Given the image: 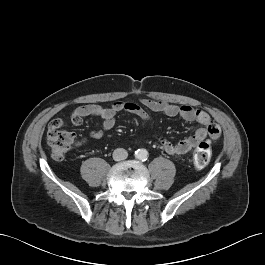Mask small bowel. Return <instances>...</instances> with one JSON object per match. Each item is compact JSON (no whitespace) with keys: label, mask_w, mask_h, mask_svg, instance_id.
<instances>
[{"label":"small bowel","mask_w":265,"mask_h":265,"mask_svg":"<svg viewBox=\"0 0 265 265\" xmlns=\"http://www.w3.org/2000/svg\"><path fill=\"white\" fill-rule=\"evenodd\" d=\"M146 109L163 114L167 117H180L185 121L198 122L201 127L197 128L194 134L177 143L158 136V141L163 150L173 156L181 157L188 153L197 143L209 137L217 140L220 136L219 125L203 110L194 109L191 106H178L163 101H154L143 98L140 103L117 101L110 106H100L97 104H88L74 109L70 115L71 122L78 126L81 125L85 117H99L102 122V129L94 130L90 137L94 139L101 138L105 131L111 130L115 123L116 117L120 113H130L136 115L143 121H149L150 116Z\"/></svg>","instance_id":"small-bowel-1"}]
</instances>
